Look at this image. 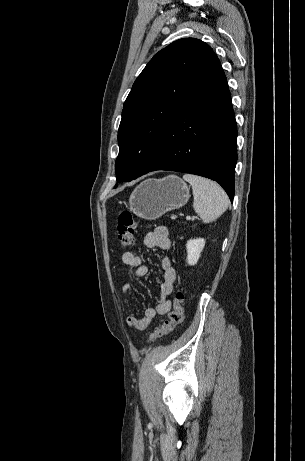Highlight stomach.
Masks as SVG:
<instances>
[{
    "instance_id": "0dacf381",
    "label": "stomach",
    "mask_w": 305,
    "mask_h": 461,
    "mask_svg": "<svg viewBox=\"0 0 305 461\" xmlns=\"http://www.w3.org/2000/svg\"><path fill=\"white\" fill-rule=\"evenodd\" d=\"M189 197L187 184L181 178L169 175L140 183L129 198V206L138 217L155 220L168 211L184 206Z\"/></svg>"
}]
</instances>
